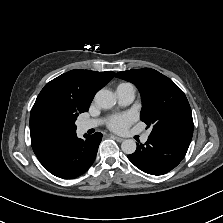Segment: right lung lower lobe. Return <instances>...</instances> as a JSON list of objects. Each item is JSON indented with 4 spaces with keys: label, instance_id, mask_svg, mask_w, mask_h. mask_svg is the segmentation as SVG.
Wrapping results in <instances>:
<instances>
[{
    "label": "right lung lower lobe",
    "instance_id": "98d812e1",
    "mask_svg": "<svg viewBox=\"0 0 223 223\" xmlns=\"http://www.w3.org/2000/svg\"><path fill=\"white\" fill-rule=\"evenodd\" d=\"M85 138L80 139L75 133L37 158L51 174L63 179L76 178L93 164L102 134L97 132Z\"/></svg>",
    "mask_w": 223,
    "mask_h": 223
}]
</instances>
